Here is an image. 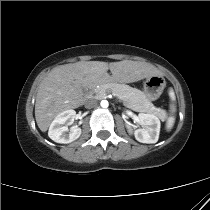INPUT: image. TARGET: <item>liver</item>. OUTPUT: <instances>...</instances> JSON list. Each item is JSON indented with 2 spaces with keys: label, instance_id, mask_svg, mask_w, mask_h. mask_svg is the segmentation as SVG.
<instances>
[{
  "label": "liver",
  "instance_id": "liver-1",
  "mask_svg": "<svg viewBox=\"0 0 210 210\" xmlns=\"http://www.w3.org/2000/svg\"><path fill=\"white\" fill-rule=\"evenodd\" d=\"M110 70L112 75L107 71ZM153 66L139 61H79L54 68L41 82L35 103L39 129L46 132L52 120L84 102L83 90L108 82L133 83L158 75Z\"/></svg>",
  "mask_w": 210,
  "mask_h": 210
}]
</instances>
